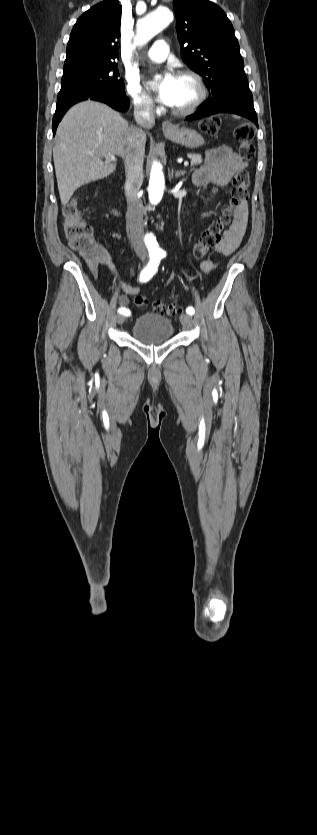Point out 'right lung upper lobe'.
Returning a JSON list of instances; mask_svg holds the SVG:
<instances>
[{"label": "right lung upper lobe", "mask_w": 317, "mask_h": 835, "mask_svg": "<svg viewBox=\"0 0 317 835\" xmlns=\"http://www.w3.org/2000/svg\"><path fill=\"white\" fill-rule=\"evenodd\" d=\"M121 13L118 2L105 0L81 15L70 34L65 63H116Z\"/></svg>", "instance_id": "right-lung-upper-lobe-1"}]
</instances>
